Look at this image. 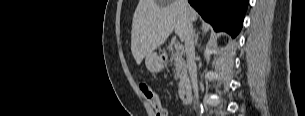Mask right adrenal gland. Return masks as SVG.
Instances as JSON below:
<instances>
[{"label":"right adrenal gland","mask_w":305,"mask_h":116,"mask_svg":"<svg viewBox=\"0 0 305 116\" xmlns=\"http://www.w3.org/2000/svg\"><path fill=\"white\" fill-rule=\"evenodd\" d=\"M194 36H195V44H197V41H198V34H196L195 31H194Z\"/></svg>","instance_id":"obj_1"}]
</instances>
